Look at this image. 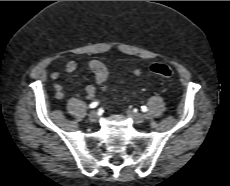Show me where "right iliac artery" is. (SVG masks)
<instances>
[{
	"label": "right iliac artery",
	"instance_id": "obj_1",
	"mask_svg": "<svg viewBox=\"0 0 230 186\" xmlns=\"http://www.w3.org/2000/svg\"><path fill=\"white\" fill-rule=\"evenodd\" d=\"M97 106H98V102H92V103L89 105L90 108H95V107H97Z\"/></svg>",
	"mask_w": 230,
	"mask_h": 186
}]
</instances>
